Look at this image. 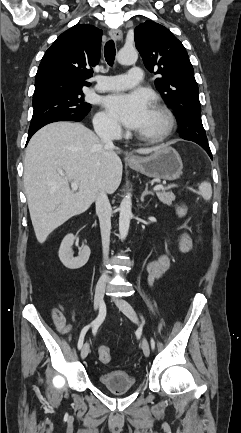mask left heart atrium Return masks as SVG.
<instances>
[{
    "label": "left heart atrium",
    "mask_w": 241,
    "mask_h": 433,
    "mask_svg": "<svg viewBox=\"0 0 241 433\" xmlns=\"http://www.w3.org/2000/svg\"><path fill=\"white\" fill-rule=\"evenodd\" d=\"M108 113L121 124L132 130H140L148 120L151 104L141 92L115 93L104 99Z\"/></svg>",
    "instance_id": "39dd6f15"
}]
</instances>
